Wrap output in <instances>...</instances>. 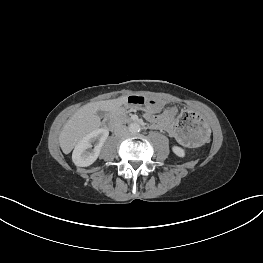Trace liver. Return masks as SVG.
<instances>
[{
    "instance_id": "1",
    "label": "liver",
    "mask_w": 263,
    "mask_h": 263,
    "mask_svg": "<svg viewBox=\"0 0 263 263\" xmlns=\"http://www.w3.org/2000/svg\"><path fill=\"white\" fill-rule=\"evenodd\" d=\"M127 97L121 96L117 99L98 101L82 106L66 122L59 135V143L63 153L69 154L83 137L101 126V119L97 115L99 110L115 111L126 103Z\"/></svg>"
}]
</instances>
